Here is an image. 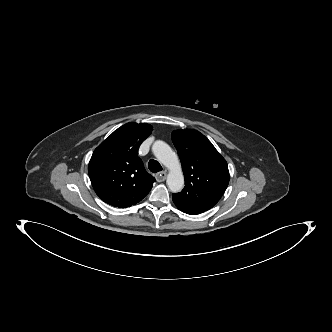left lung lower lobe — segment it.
<instances>
[{"mask_svg":"<svg viewBox=\"0 0 332 332\" xmlns=\"http://www.w3.org/2000/svg\"><path fill=\"white\" fill-rule=\"evenodd\" d=\"M173 202L180 211H182L186 214L197 215V214L202 213V212H199V211L192 210V209H190V208H188V207L184 206L183 204L178 203L176 201H173Z\"/></svg>","mask_w":332,"mask_h":332,"instance_id":"obj_1","label":"left lung lower lobe"}]
</instances>
